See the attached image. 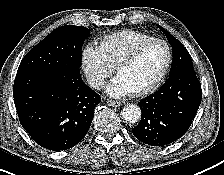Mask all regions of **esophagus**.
I'll list each match as a JSON object with an SVG mask.
<instances>
[{
    "label": "esophagus",
    "instance_id": "obj_1",
    "mask_svg": "<svg viewBox=\"0 0 224 175\" xmlns=\"http://www.w3.org/2000/svg\"><path fill=\"white\" fill-rule=\"evenodd\" d=\"M106 103L109 105V106H112V107H119L121 105L120 102L118 101H114V100H106Z\"/></svg>",
    "mask_w": 224,
    "mask_h": 175
}]
</instances>
